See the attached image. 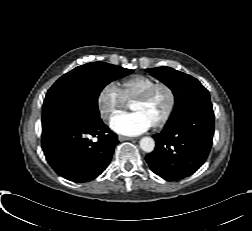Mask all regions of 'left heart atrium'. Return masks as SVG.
<instances>
[{
	"label": "left heart atrium",
	"mask_w": 252,
	"mask_h": 231,
	"mask_svg": "<svg viewBox=\"0 0 252 231\" xmlns=\"http://www.w3.org/2000/svg\"><path fill=\"white\" fill-rule=\"evenodd\" d=\"M151 121L141 112L120 113L110 121V127L118 134L137 136L152 127Z\"/></svg>",
	"instance_id": "39dd6f15"
}]
</instances>
